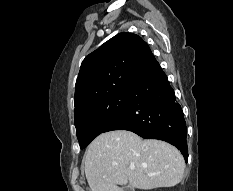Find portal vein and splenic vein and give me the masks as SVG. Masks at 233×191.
Returning a JSON list of instances; mask_svg holds the SVG:
<instances>
[{
    "label": "portal vein and splenic vein",
    "instance_id": "portal-vein-and-splenic-vein-1",
    "mask_svg": "<svg viewBox=\"0 0 233 191\" xmlns=\"http://www.w3.org/2000/svg\"><path fill=\"white\" fill-rule=\"evenodd\" d=\"M129 168H130V170H132V171L135 169V167H134L133 165L129 166Z\"/></svg>",
    "mask_w": 233,
    "mask_h": 191
}]
</instances>
